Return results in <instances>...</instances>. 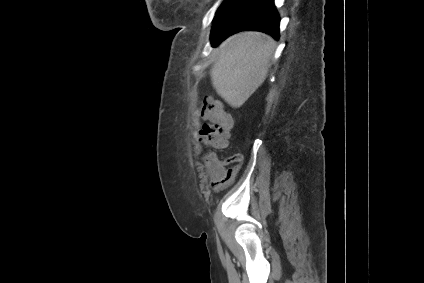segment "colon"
Listing matches in <instances>:
<instances>
[{
    "label": "colon",
    "mask_w": 424,
    "mask_h": 283,
    "mask_svg": "<svg viewBox=\"0 0 424 283\" xmlns=\"http://www.w3.org/2000/svg\"><path fill=\"white\" fill-rule=\"evenodd\" d=\"M199 115L210 123L200 130V139L212 148H225L228 145L232 120L221 103L214 100H204L199 108ZM215 154L205 157L207 164L214 162Z\"/></svg>",
    "instance_id": "obj_1"
}]
</instances>
